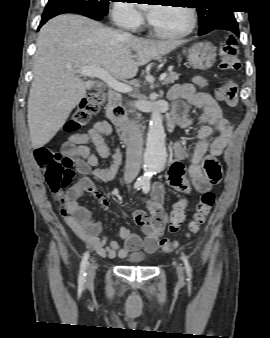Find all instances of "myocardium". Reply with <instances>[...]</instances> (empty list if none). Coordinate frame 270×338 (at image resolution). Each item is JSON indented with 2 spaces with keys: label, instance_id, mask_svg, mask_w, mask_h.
<instances>
[{
  "label": "myocardium",
  "instance_id": "obj_1",
  "mask_svg": "<svg viewBox=\"0 0 270 338\" xmlns=\"http://www.w3.org/2000/svg\"><path fill=\"white\" fill-rule=\"evenodd\" d=\"M189 10L190 13V17H191V22L189 27L182 31V32H178V33H165V32H161L159 31L153 24L152 20L149 21V27L151 32L162 39H181L184 37H187L188 35H190L196 28L197 25V13L195 11L194 8L190 7L189 5H186V7Z\"/></svg>",
  "mask_w": 270,
  "mask_h": 338
}]
</instances>
